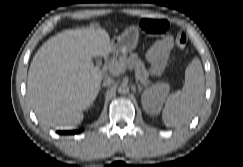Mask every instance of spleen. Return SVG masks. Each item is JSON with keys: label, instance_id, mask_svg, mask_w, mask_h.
Returning a JSON list of instances; mask_svg holds the SVG:
<instances>
[{"label": "spleen", "instance_id": "1", "mask_svg": "<svg viewBox=\"0 0 243 167\" xmlns=\"http://www.w3.org/2000/svg\"><path fill=\"white\" fill-rule=\"evenodd\" d=\"M204 84L201 61L195 57L185 70L182 90L169 95L165 102L162 120L167 127H181L192 120L202 105Z\"/></svg>", "mask_w": 243, "mask_h": 167}]
</instances>
